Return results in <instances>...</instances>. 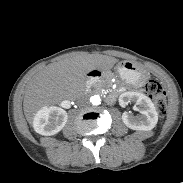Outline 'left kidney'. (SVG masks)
I'll use <instances>...</instances> for the list:
<instances>
[{"instance_id": "1", "label": "left kidney", "mask_w": 183, "mask_h": 183, "mask_svg": "<svg viewBox=\"0 0 183 183\" xmlns=\"http://www.w3.org/2000/svg\"><path fill=\"white\" fill-rule=\"evenodd\" d=\"M135 102L141 115L133 116L130 112L122 114L123 123L130 129L149 131L158 122V113L149 97L138 92H125L119 96V104L125 107L128 103Z\"/></svg>"}]
</instances>
